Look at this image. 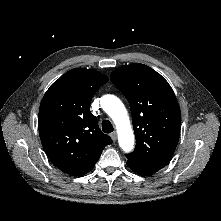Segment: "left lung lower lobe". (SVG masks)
<instances>
[{
  "mask_svg": "<svg viewBox=\"0 0 221 221\" xmlns=\"http://www.w3.org/2000/svg\"><path fill=\"white\" fill-rule=\"evenodd\" d=\"M127 165L134 172H136L140 175H143V176L150 175V174L155 173L157 171L154 169L147 168V167H145L141 164H138L137 162L130 160V159L127 160Z\"/></svg>",
  "mask_w": 221,
  "mask_h": 221,
  "instance_id": "left-lung-lower-lobe-1",
  "label": "left lung lower lobe"
}]
</instances>
